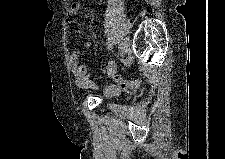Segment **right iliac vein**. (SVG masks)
<instances>
[{"mask_svg":"<svg viewBox=\"0 0 225 159\" xmlns=\"http://www.w3.org/2000/svg\"><path fill=\"white\" fill-rule=\"evenodd\" d=\"M129 47V42L128 39L125 38L122 42H121V56H124V54L127 52Z\"/></svg>","mask_w":225,"mask_h":159,"instance_id":"right-iliac-vein-1","label":"right iliac vein"}]
</instances>
